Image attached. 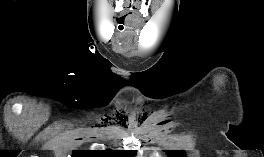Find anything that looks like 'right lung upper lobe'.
<instances>
[{
  "label": "right lung upper lobe",
  "instance_id": "1",
  "mask_svg": "<svg viewBox=\"0 0 264 157\" xmlns=\"http://www.w3.org/2000/svg\"><path fill=\"white\" fill-rule=\"evenodd\" d=\"M136 154L135 150H91L73 152L72 157H133Z\"/></svg>",
  "mask_w": 264,
  "mask_h": 157
}]
</instances>
